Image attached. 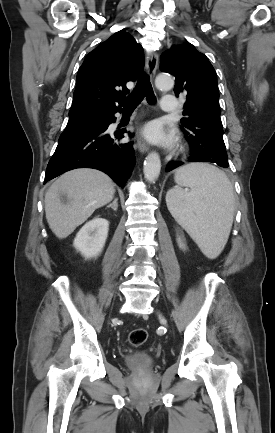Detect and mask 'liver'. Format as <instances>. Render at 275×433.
Masks as SVG:
<instances>
[{
	"mask_svg": "<svg viewBox=\"0 0 275 433\" xmlns=\"http://www.w3.org/2000/svg\"><path fill=\"white\" fill-rule=\"evenodd\" d=\"M62 194L67 196L63 202ZM114 184L105 173L89 168L68 171L45 194V213L50 229L59 239L68 237L93 212L111 202Z\"/></svg>",
	"mask_w": 275,
	"mask_h": 433,
	"instance_id": "obj_1",
	"label": "liver"
}]
</instances>
